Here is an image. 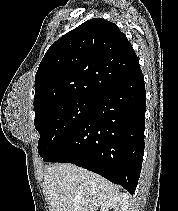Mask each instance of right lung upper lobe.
<instances>
[{"mask_svg": "<svg viewBox=\"0 0 178 211\" xmlns=\"http://www.w3.org/2000/svg\"><path fill=\"white\" fill-rule=\"evenodd\" d=\"M140 70L132 45L116 24L88 20L44 55L35 75V113L58 101L96 99Z\"/></svg>", "mask_w": 178, "mask_h": 211, "instance_id": "cb5924a9", "label": "right lung upper lobe"}]
</instances>
